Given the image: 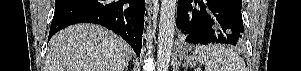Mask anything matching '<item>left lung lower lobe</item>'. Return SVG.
Returning a JSON list of instances; mask_svg holds the SVG:
<instances>
[{"instance_id": "1", "label": "left lung lower lobe", "mask_w": 301, "mask_h": 71, "mask_svg": "<svg viewBox=\"0 0 301 71\" xmlns=\"http://www.w3.org/2000/svg\"><path fill=\"white\" fill-rule=\"evenodd\" d=\"M198 7H192V2ZM176 25L192 44L237 45L244 39L241 0H179Z\"/></svg>"}]
</instances>
